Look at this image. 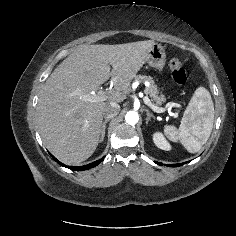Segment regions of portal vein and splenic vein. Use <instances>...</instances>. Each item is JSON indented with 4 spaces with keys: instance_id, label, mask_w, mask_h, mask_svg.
Listing matches in <instances>:
<instances>
[{
    "instance_id": "18ae733b",
    "label": "portal vein and splenic vein",
    "mask_w": 236,
    "mask_h": 236,
    "mask_svg": "<svg viewBox=\"0 0 236 236\" xmlns=\"http://www.w3.org/2000/svg\"><path fill=\"white\" fill-rule=\"evenodd\" d=\"M107 99V96L105 94L104 91H99L98 95H96L93 99H91L90 101L91 102H99V101H105ZM144 100V103L149 106L154 112H157V113H162L165 111V108H162V107H158L156 105H154L151 100L145 96L143 98ZM173 116L174 117H177L178 116V113H173Z\"/></svg>"
}]
</instances>
